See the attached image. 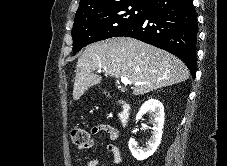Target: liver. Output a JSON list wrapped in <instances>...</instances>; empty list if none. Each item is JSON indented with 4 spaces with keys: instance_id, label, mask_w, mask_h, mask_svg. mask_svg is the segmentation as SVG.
Listing matches in <instances>:
<instances>
[{
    "instance_id": "1",
    "label": "liver",
    "mask_w": 227,
    "mask_h": 166,
    "mask_svg": "<svg viewBox=\"0 0 227 166\" xmlns=\"http://www.w3.org/2000/svg\"><path fill=\"white\" fill-rule=\"evenodd\" d=\"M99 69L117 79L127 77L133 83L134 95L189 78L186 65L167 51L130 37H113L90 44L78 58L73 86L75 101L101 82L102 77L94 74Z\"/></svg>"
}]
</instances>
